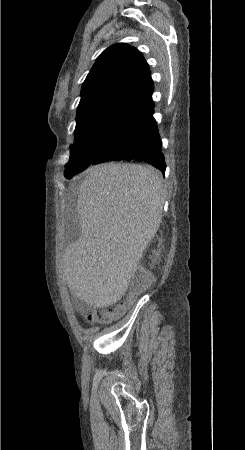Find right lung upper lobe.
<instances>
[{"mask_svg":"<svg viewBox=\"0 0 245 450\" xmlns=\"http://www.w3.org/2000/svg\"><path fill=\"white\" fill-rule=\"evenodd\" d=\"M153 81L141 52L115 44L101 53L81 90L77 113L97 106H113L143 113L154 106Z\"/></svg>","mask_w":245,"mask_h":450,"instance_id":"cb5924a9","label":"right lung upper lobe"}]
</instances>
